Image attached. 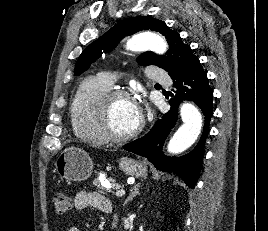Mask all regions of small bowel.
I'll list each match as a JSON object with an SVG mask.
<instances>
[{
  "label": "small bowel",
  "mask_w": 268,
  "mask_h": 231,
  "mask_svg": "<svg viewBox=\"0 0 268 231\" xmlns=\"http://www.w3.org/2000/svg\"><path fill=\"white\" fill-rule=\"evenodd\" d=\"M73 207L78 211H82L87 208H94L106 214L113 212V206L111 202L104 195L98 192H78L74 197ZM68 231H80V229L76 226H72L68 229Z\"/></svg>",
  "instance_id": "c3829d8e"
}]
</instances>
